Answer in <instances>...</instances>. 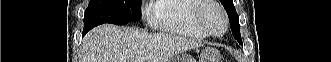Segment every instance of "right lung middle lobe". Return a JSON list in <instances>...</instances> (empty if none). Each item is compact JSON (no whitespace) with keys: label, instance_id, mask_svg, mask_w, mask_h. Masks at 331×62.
<instances>
[{"label":"right lung middle lobe","instance_id":"right-lung-middle-lobe-1","mask_svg":"<svg viewBox=\"0 0 331 62\" xmlns=\"http://www.w3.org/2000/svg\"><path fill=\"white\" fill-rule=\"evenodd\" d=\"M140 0H90L84 15L83 34L103 23L121 25L140 20Z\"/></svg>","mask_w":331,"mask_h":62}]
</instances>
